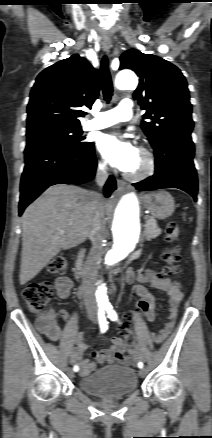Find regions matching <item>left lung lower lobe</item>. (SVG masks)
<instances>
[{
  "mask_svg": "<svg viewBox=\"0 0 212 438\" xmlns=\"http://www.w3.org/2000/svg\"><path fill=\"white\" fill-rule=\"evenodd\" d=\"M155 174L135 183L139 191L178 188L197 200L198 179L193 163L194 143L191 136L171 137L155 148Z\"/></svg>",
  "mask_w": 212,
  "mask_h": 438,
  "instance_id": "left-lung-lower-lobe-1",
  "label": "left lung lower lobe"
}]
</instances>
